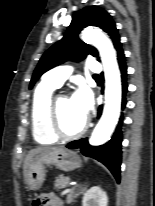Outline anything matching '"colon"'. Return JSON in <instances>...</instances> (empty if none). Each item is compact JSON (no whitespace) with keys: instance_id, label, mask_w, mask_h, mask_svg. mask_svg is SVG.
I'll list each match as a JSON object with an SVG mask.
<instances>
[{"instance_id":"1","label":"colon","mask_w":155,"mask_h":206,"mask_svg":"<svg viewBox=\"0 0 155 206\" xmlns=\"http://www.w3.org/2000/svg\"><path fill=\"white\" fill-rule=\"evenodd\" d=\"M34 206H38V203H37V202H34Z\"/></svg>"}]
</instances>
